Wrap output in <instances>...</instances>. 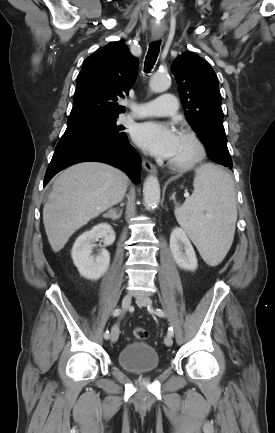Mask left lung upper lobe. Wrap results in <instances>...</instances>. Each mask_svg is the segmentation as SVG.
Wrapping results in <instances>:
<instances>
[{"label": "left lung upper lobe", "mask_w": 275, "mask_h": 433, "mask_svg": "<svg viewBox=\"0 0 275 433\" xmlns=\"http://www.w3.org/2000/svg\"><path fill=\"white\" fill-rule=\"evenodd\" d=\"M171 71L179 85L185 116L205 144L208 156L223 166L232 164L214 70L195 53L185 52L174 60Z\"/></svg>", "instance_id": "obj_1"}]
</instances>
